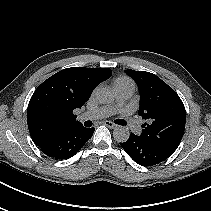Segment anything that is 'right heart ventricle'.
Listing matches in <instances>:
<instances>
[{
	"label": "right heart ventricle",
	"mask_w": 211,
	"mask_h": 211,
	"mask_svg": "<svg viewBox=\"0 0 211 211\" xmlns=\"http://www.w3.org/2000/svg\"><path fill=\"white\" fill-rule=\"evenodd\" d=\"M113 86L115 89L122 88V87L134 88V82L128 77L120 76L114 80Z\"/></svg>",
	"instance_id": "e07e8e85"
}]
</instances>
